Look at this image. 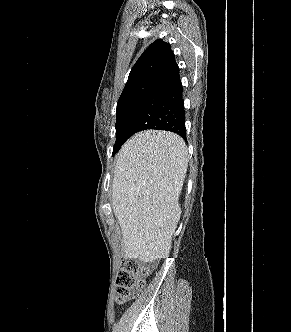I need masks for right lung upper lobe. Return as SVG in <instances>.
Segmentation results:
<instances>
[{"label": "right lung upper lobe", "instance_id": "1", "mask_svg": "<svg viewBox=\"0 0 291 332\" xmlns=\"http://www.w3.org/2000/svg\"><path fill=\"white\" fill-rule=\"evenodd\" d=\"M177 75L179 68L170 45L158 39L133 66L119 100L140 93L148 94Z\"/></svg>", "mask_w": 291, "mask_h": 332}]
</instances>
